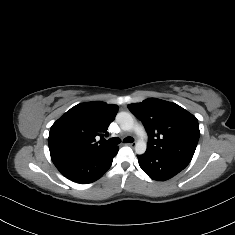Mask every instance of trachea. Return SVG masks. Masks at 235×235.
<instances>
[{"label": "trachea", "mask_w": 235, "mask_h": 235, "mask_svg": "<svg viewBox=\"0 0 235 235\" xmlns=\"http://www.w3.org/2000/svg\"><path fill=\"white\" fill-rule=\"evenodd\" d=\"M134 139L132 137H127L123 140L124 143H132ZM121 140L119 138H111L108 141L104 140L105 144L108 145H118L120 144Z\"/></svg>", "instance_id": "trachea-1"}]
</instances>
